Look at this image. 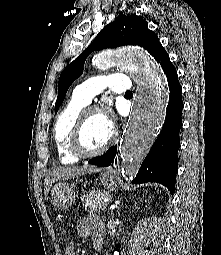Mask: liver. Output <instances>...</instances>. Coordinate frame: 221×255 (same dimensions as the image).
I'll list each match as a JSON object with an SVG mask.
<instances>
[{
	"label": "liver",
	"mask_w": 221,
	"mask_h": 255,
	"mask_svg": "<svg viewBox=\"0 0 221 255\" xmlns=\"http://www.w3.org/2000/svg\"><path fill=\"white\" fill-rule=\"evenodd\" d=\"M100 168H96L90 165H84L83 167H66V168H55L48 173L44 183V194L48 195L49 190L53 183L58 180H69L77 176L84 175L86 173L100 172Z\"/></svg>",
	"instance_id": "obj_1"
}]
</instances>
